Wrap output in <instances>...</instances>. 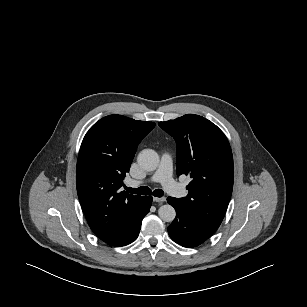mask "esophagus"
<instances>
[{"instance_id": "34e87169", "label": "esophagus", "mask_w": 307, "mask_h": 307, "mask_svg": "<svg viewBox=\"0 0 307 307\" xmlns=\"http://www.w3.org/2000/svg\"><path fill=\"white\" fill-rule=\"evenodd\" d=\"M154 202L162 203L166 201L165 197H153Z\"/></svg>"}]
</instances>
